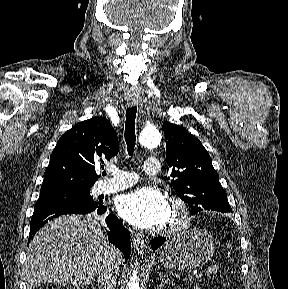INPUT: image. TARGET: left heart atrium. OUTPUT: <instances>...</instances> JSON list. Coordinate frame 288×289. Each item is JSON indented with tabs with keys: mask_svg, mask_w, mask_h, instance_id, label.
<instances>
[{
	"mask_svg": "<svg viewBox=\"0 0 288 289\" xmlns=\"http://www.w3.org/2000/svg\"><path fill=\"white\" fill-rule=\"evenodd\" d=\"M116 210L124 220L140 228L160 227L170 218L166 198L160 191L149 187L119 196Z\"/></svg>",
	"mask_w": 288,
	"mask_h": 289,
	"instance_id": "obj_1",
	"label": "left heart atrium"
}]
</instances>
